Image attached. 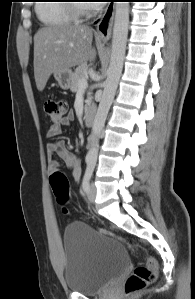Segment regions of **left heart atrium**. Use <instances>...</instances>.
I'll return each instance as SVG.
<instances>
[{
	"mask_svg": "<svg viewBox=\"0 0 195 299\" xmlns=\"http://www.w3.org/2000/svg\"><path fill=\"white\" fill-rule=\"evenodd\" d=\"M92 3L88 4L90 7H100L104 2H100L99 0H92Z\"/></svg>",
	"mask_w": 195,
	"mask_h": 299,
	"instance_id": "39dd6f15",
	"label": "left heart atrium"
}]
</instances>
